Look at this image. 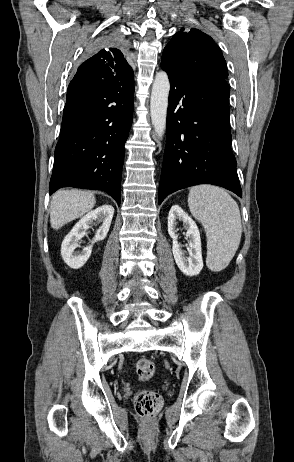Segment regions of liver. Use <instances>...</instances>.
Returning <instances> with one entry per match:
<instances>
[{
    "label": "liver",
    "mask_w": 294,
    "mask_h": 462,
    "mask_svg": "<svg viewBox=\"0 0 294 462\" xmlns=\"http://www.w3.org/2000/svg\"><path fill=\"white\" fill-rule=\"evenodd\" d=\"M93 193L81 190L57 191L51 200L50 223L55 230L82 217L95 205Z\"/></svg>",
    "instance_id": "1"
}]
</instances>
